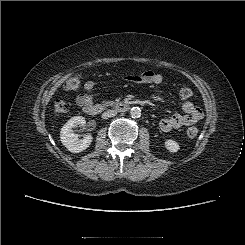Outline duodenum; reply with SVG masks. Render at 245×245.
<instances>
[{
    "label": "duodenum",
    "mask_w": 245,
    "mask_h": 245,
    "mask_svg": "<svg viewBox=\"0 0 245 245\" xmlns=\"http://www.w3.org/2000/svg\"><path fill=\"white\" fill-rule=\"evenodd\" d=\"M114 109L117 112L120 113H124L127 112L130 109V105L129 104H117ZM104 110V107L100 104H96V105H90L86 112L90 115V116H97L99 115L102 111Z\"/></svg>",
    "instance_id": "duodenum-1"
}]
</instances>
